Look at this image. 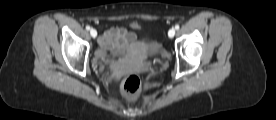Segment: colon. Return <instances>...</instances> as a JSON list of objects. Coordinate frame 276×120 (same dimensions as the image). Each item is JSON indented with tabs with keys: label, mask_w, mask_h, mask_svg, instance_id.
I'll return each mask as SVG.
<instances>
[{
	"label": "colon",
	"mask_w": 276,
	"mask_h": 120,
	"mask_svg": "<svg viewBox=\"0 0 276 120\" xmlns=\"http://www.w3.org/2000/svg\"><path fill=\"white\" fill-rule=\"evenodd\" d=\"M121 89L131 100H138L140 98L139 78L134 74L127 75L122 81Z\"/></svg>",
	"instance_id": "obj_1"
}]
</instances>
